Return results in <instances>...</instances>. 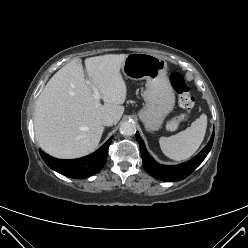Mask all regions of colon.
Wrapping results in <instances>:
<instances>
[{"mask_svg":"<svg viewBox=\"0 0 248 248\" xmlns=\"http://www.w3.org/2000/svg\"><path fill=\"white\" fill-rule=\"evenodd\" d=\"M170 82L178 95V102L182 109L189 112L194 106L191 87L179 72H174L170 76ZM185 121V116L180 114L174 116L167 124L169 130L177 129Z\"/></svg>","mask_w":248,"mask_h":248,"instance_id":"1","label":"colon"}]
</instances>
